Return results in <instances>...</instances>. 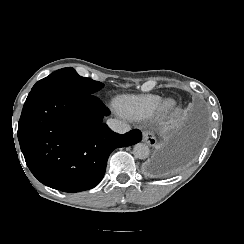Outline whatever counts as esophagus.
<instances>
[{
    "mask_svg": "<svg viewBox=\"0 0 244 244\" xmlns=\"http://www.w3.org/2000/svg\"><path fill=\"white\" fill-rule=\"evenodd\" d=\"M142 140H143V142H145L149 146H154L157 142L154 133L150 130H144L143 131Z\"/></svg>",
    "mask_w": 244,
    "mask_h": 244,
    "instance_id": "obj_1",
    "label": "esophagus"
}]
</instances>
